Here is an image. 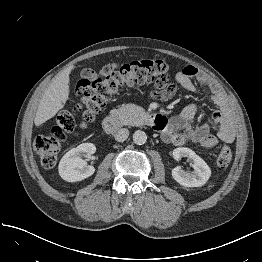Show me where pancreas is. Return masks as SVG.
<instances>
[{
  "label": "pancreas",
  "instance_id": "obj_1",
  "mask_svg": "<svg viewBox=\"0 0 262 262\" xmlns=\"http://www.w3.org/2000/svg\"><path fill=\"white\" fill-rule=\"evenodd\" d=\"M111 115L123 125L140 126L143 123L145 111L135 104H124L118 109H113Z\"/></svg>",
  "mask_w": 262,
  "mask_h": 262
}]
</instances>
